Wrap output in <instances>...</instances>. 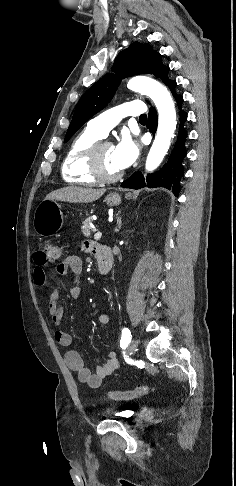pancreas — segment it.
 <instances>
[{
  "label": "pancreas",
  "mask_w": 236,
  "mask_h": 486,
  "mask_svg": "<svg viewBox=\"0 0 236 486\" xmlns=\"http://www.w3.org/2000/svg\"><path fill=\"white\" fill-rule=\"evenodd\" d=\"M81 229H82V233L85 237H89L92 234L93 229L91 227V219L90 218L86 219L83 222V226L81 227Z\"/></svg>",
  "instance_id": "obj_1"
}]
</instances>
